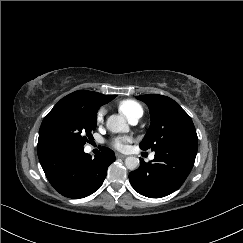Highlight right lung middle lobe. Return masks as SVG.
Listing matches in <instances>:
<instances>
[{
	"label": "right lung middle lobe",
	"mask_w": 243,
	"mask_h": 243,
	"mask_svg": "<svg viewBox=\"0 0 243 243\" xmlns=\"http://www.w3.org/2000/svg\"><path fill=\"white\" fill-rule=\"evenodd\" d=\"M97 111L58 102L43 119L37 151L54 147H83L92 139Z\"/></svg>",
	"instance_id": "obj_1"
}]
</instances>
